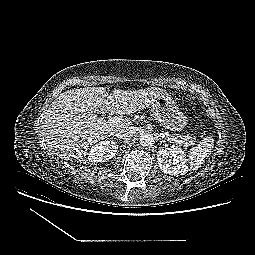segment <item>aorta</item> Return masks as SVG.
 <instances>
[{"label": "aorta", "mask_w": 255, "mask_h": 255, "mask_svg": "<svg viewBox=\"0 0 255 255\" xmlns=\"http://www.w3.org/2000/svg\"><path fill=\"white\" fill-rule=\"evenodd\" d=\"M155 143V139L150 134H144L140 137V144L144 147H151Z\"/></svg>", "instance_id": "obj_1"}]
</instances>
